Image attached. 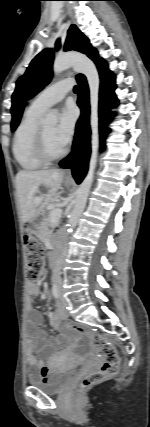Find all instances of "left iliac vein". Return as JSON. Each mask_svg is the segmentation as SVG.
<instances>
[{"label":"left iliac vein","instance_id":"left-iliac-vein-1","mask_svg":"<svg viewBox=\"0 0 150 427\" xmlns=\"http://www.w3.org/2000/svg\"><path fill=\"white\" fill-rule=\"evenodd\" d=\"M59 296H60V303H61V305L64 306V307H67L69 305V303L63 297V293H62L61 289H59Z\"/></svg>","mask_w":150,"mask_h":427}]
</instances>
